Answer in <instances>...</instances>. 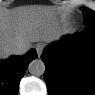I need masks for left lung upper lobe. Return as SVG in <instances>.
Returning a JSON list of instances; mask_svg holds the SVG:
<instances>
[{"mask_svg":"<svg viewBox=\"0 0 95 95\" xmlns=\"http://www.w3.org/2000/svg\"><path fill=\"white\" fill-rule=\"evenodd\" d=\"M84 16V24L87 26L95 25V12L89 8L81 7Z\"/></svg>","mask_w":95,"mask_h":95,"instance_id":"left-lung-upper-lobe-1","label":"left lung upper lobe"}]
</instances>
